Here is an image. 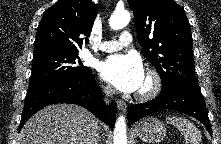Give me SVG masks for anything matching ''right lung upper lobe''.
Masks as SVG:
<instances>
[{"instance_id":"right-lung-upper-lobe-1","label":"right lung upper lobe","mask_w":221,"mask_h":144,"mask_svg":"<svg viewBox=\"0 0 221 144\" xmlns=\"http://www.w3.org/2000/svg\"><path fill=\"white\" fill-rule=\"evenodd\" d=\"M98 7L92 0H58L40 21L34 53L42 51L79 52L90 34Z\"/></svg>"}]
</instances>
